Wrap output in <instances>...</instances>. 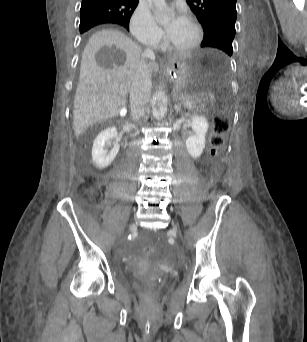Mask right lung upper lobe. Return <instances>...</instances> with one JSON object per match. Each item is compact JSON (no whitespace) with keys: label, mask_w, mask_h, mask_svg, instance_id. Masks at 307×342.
<instances>
[{"label":"right lung upper lobe","mask_w":307,"mask_h":342,"mask_svg":"<svg viewBox=\"0 0 307 342\" xmlns=\"http://www.w3.org/2000/svg\"><path fill=\"white\" fill-rule=\"evenodd\" d=\"M138 5V0H82L81 11H109L117 14L113 24H119L129 30L130 17Z\"/></svg>","instance_id":"right-lung-upper-lobe-1"}]
</instances>
